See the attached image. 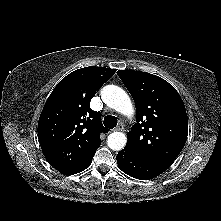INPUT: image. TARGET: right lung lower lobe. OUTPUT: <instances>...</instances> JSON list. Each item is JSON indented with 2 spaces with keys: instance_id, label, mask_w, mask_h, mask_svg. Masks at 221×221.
Returning <instances> with one entry per match:
<instances>
[{
  "instance_id": "right-lung-lower-lobe-1",
  "label": "right lung lower lobe",
  "mask_w": 221,
  "mask_h": 221,
  "mask_svg": "<svg viewBox=\"0 0 221 221\" xmlns=\"http://www.w3.org/2000/svg\"><path fill=\"white\" fill-rule=\"evenodd\" d=\"M94 156V155H93ZM92 157H90L83 165H81L79 168H77L76 170L72 171L71 173L67 174V175H71V174H76L78 172H81L83 170H85L87 167H89V165L92 162Z\"/></svg>"
}]
</instances>
